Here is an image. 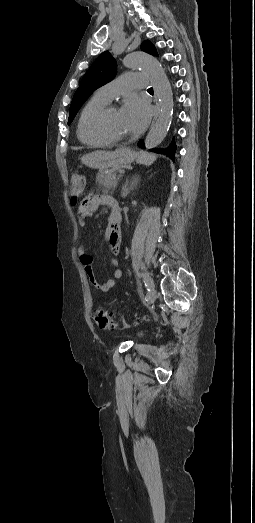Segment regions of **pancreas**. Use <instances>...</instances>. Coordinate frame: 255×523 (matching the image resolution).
<instances>
[{"instance_id":"1","label":"pancreas","mask_w":255,"mask_h":523,"mask_svg":"<svg viewBox=\"0 0 255 523\" xmlns=\"http://www.w3.org/2000/svg\"><path fill=\"white\" fill-rule=\"evenodd\" d=\"M119 178H121V176H117V170H109V172H100V174H97L96 182H98L99 186H105V192H110V190L116 188Z\"/></svg>"}]
</instances>
